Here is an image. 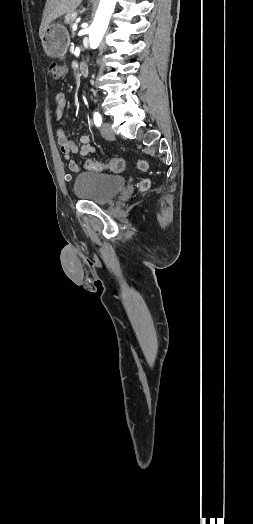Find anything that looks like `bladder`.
<instances>
[{"label":"bladder","mask_w":253,"mask_h":524,"mask_svg":"<svg viewBox=\"0 0 253 524\" xmlns=\"http://www.w3.org/2000/svg\"><path fill=\"white\" fill-rule=\"evenodd\" d=\"M126 178L95 172L78 173L74 180V193L78 199L95 204H108L126 185Z\"/></svg>","instance_id":"31cf9c89"}]
</instances>
